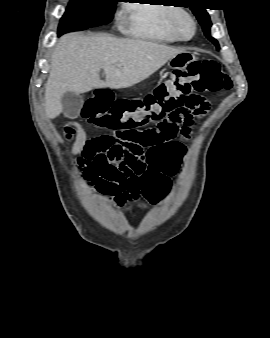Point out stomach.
<instances>
[{"label":"stomach","instance_id":"obj_1","mask_svg":"<svg viewBox=\"0 0 270 338\" xmlns=\"http://www.w3.org/2000/svg\"><path fill=\"white\" fill-rule=\"evenodd\" d=\"M194 60L195 55L193 53L184 51L171 58L168 62V66L173 70H184L188 64Z\"/></svg>","mask_w":270,"mask_h":338}]
</instances>
